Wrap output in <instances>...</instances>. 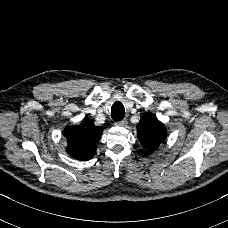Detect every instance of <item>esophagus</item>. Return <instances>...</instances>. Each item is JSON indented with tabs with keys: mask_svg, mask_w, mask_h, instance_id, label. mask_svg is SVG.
<instances>
[{
	"mask_svg": "<svg viewBox=\"0 0 228 228\" xmlns=\"http://www.w3.org/2000/svg\"><path fill=\"white\" fill-rule=\"evenodd\" d=\"M127 124H128L127 119H123V120H121V121L116 122V125H117V126H121V127H124V126H126Z\"/></svg>",
	"mask_w": 228,
	"mask_h": 228,
	"instance_id": "esophagus-1",
	"label": "esophagus"
}]
</instances>
